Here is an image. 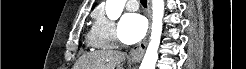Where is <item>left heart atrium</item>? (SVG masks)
Returning a JSON list of instances; mask_svg holds the SVG:
<instances>
[{"instance_id": "obj_1", "label": "left heart atrium", "mask_w": 246, "mask_h": 69, "mask_svg": "<svg viewBox=\"0 0 246 69\" xmlns=\"http://www.w3.org/2000/svg\"><path fill=\"white\" fill-rule=\"evenodd\" d=\"M146 30V21L138 13L124 14L119 25V39L123 44H134L140 41Z\"/></svg>"}]
</instances>
